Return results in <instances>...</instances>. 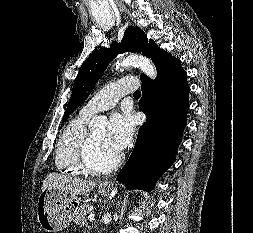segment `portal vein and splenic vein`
Returning <instances> with one entry per match:
<instances>
[{
  "mask_svg": "<svg viewBox=\"0 0 253 233\" xmlns=\"http://www.w3.org/2000/svg\"><path fill=\"white\" fill-rule=\"evenodd\" d=\"M88 220H89V221H94V220H95L94 215H93V214H89Z\"/></svg>",
  "mask_w": 253,
  "mask_h": 233,
  "instance_id": "portal-vein-and-splenic-vein-1",
  "label": "portal vein and splenic vein"
}]
</instances>
